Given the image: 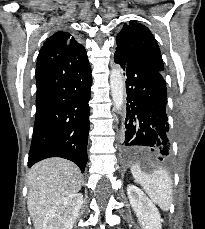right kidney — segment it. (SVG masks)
Masks as SVG:
<instances>
[{
    "mask_svg": "<svg viewBox=\"0 0 205 229\" xmlns=\"http://www.w3.org/2000/svg\"><path fill=\"white\" fill-rule=\"evenodd\" d=\"M83 203V195L76 193L62 198L48 211L43 229H72Z\"/></svg>",
    "mask_w": 205,
    "mask_h": 229,
    "instance_id": "ca27d5eb",
    "label": "right kidney"
}]
</instances>
